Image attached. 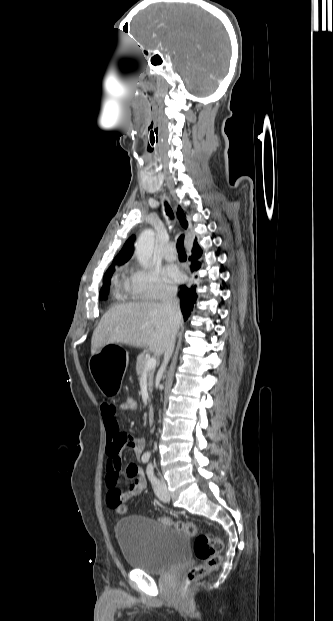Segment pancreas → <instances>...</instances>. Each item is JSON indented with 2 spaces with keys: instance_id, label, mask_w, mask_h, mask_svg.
<instances>
[{
  "instance_id": "pancreas-1",
  "label": "pancreas",
  "mask_w": 333,
  "mask_h": 621,
  "mask_svg": "<svg viewBox=\"0 0 333 621\" xmlns=\"http://www.w3.org/2000/svg\"><path fill=\"white\" fill-rule=\"evenodd\" d=\"M147 360H148V356L145 353H142L137 357L136 372L138 376H142L146 372L147 379H148V390L149 392H152L154 368L145 371Z\"/></svg>"
}]
</instances>
